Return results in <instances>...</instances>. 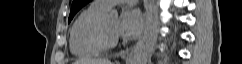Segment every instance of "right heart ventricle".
I'll list each match as a JSON object with an SVG mask.
<instances>
[{
    "label": "right heart ventricle",
    "instance_id": "right-heart-ventricle-1",
    "mask_svg": "<svg viewBox=\"0 0 242 64\" xmlns=\"http://www.w3.org/2000/svg\"><path fill=\"white\" fill-rule=\"evenodd\" d=\"M106 11V9L93 3L75 19L69 33V48L74 56L92 58L103 51L88 39L87 31L96 20L104 16Z\"/></svg>",
    "mask_w": 242,
    "mask_h": 64
}]
</instances>
